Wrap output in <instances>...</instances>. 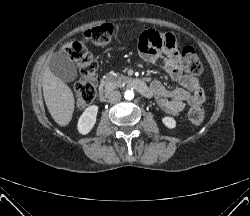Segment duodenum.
I'll list each match as a JSON object with an SVG mask.
<instances>
[{"label":"duodenum","mask_w":250,"mask_h":216,"mask_svg":"<svg viewBox=\"0 0 250 216\" xmlns=\"http://www.w3.org/2000/svg\"><path fill=\"white\" fill-rule=\"evenodd\" d=\"M124 85L128 88L135 89L141 95L149 97L151 95L150 87L139 78H128L124 81ZM112 91V86L108 83H103L99 88V97L101 101H105Z\"/></svg>","instance_id":"1"}]
</instances>
